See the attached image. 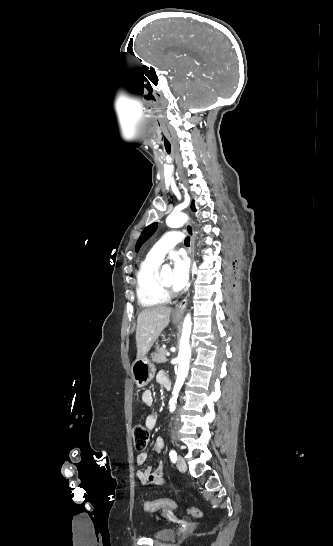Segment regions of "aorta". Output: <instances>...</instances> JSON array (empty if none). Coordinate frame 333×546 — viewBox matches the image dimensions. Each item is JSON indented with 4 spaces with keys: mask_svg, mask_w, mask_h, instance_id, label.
<instances>
[{
    "mask_svg": "<svg viewBox=\"0 0 333 546\" xmlns=\"http://www.w3.org/2000/svg\"><path fill=\"white\" fill-rule=\"evenodd\" d=\"M188 217L184 213H171L167 219L166 224L171 228L181 227L186 223ZM170 272V267L168 265H163L162 273ZM192 321L191 316L187 314L183 322V331L180 341V349L178 354V372L177 378L174 384L172 398L170 399V411L173 412L176 407L177 397L181 387L184 384V381L188 375L189 371V362L191 358V349H190V334H191Z\"/></svg>",
    "mask_w": 333,
    "mask_h": 546,
    "instance_id": "762f6f07",
    "label": "aorta"
}]
</instances>
